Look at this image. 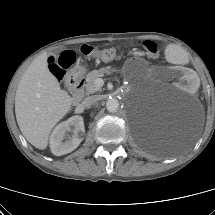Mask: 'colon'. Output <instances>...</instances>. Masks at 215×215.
I'll return each instance as SVG.
<instances>
[{
	"mask_svg": "<svg viewBox=\"0 0 215 215\" xmlns=\"http://www.w3.org/2000/svg\"><path fill=\"white\" fill-rule=\"evenodd\" d=\"M143 47L147 54L154 58L158 54V47L154 42L145 41ZM80 52L86 56H96L105 61H112L117 57V51L115 48H97L88 44H84L80 47ZM75 62V54L72 51H65L59 56H51L49 58V67L52 74L62 79L65 70L68 69Z\"/></svg>",
	"mask_w": 215,
	"mask_h": 215,
	"instance_id": "1",
	"label": "colon"
}]
</instances>
